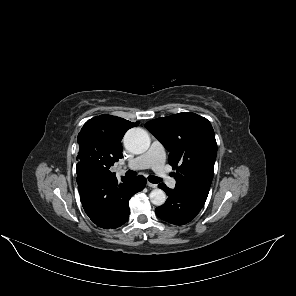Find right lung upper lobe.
<instances>
[{
	"mask_svg": "<svg viewBox=\"0 0 296 296\" xmlns=\"http://www.w3.org/2000/svg\"><path fill=\"white\" fill-rule=\"evenodd\" d=\"M139 125L123 118L111 115H100L88 120L78 134L80 149L93 147L102 152L113 165L122 158L121 139L125 132ZM115 176L109 171L108 177Z\"/></svg>",
	"mask_w": 296,
	"mask_h": 296,
	"instance_id": "cb5924a9",
	"label": "right lung upper lobe"
}]
</instances>
